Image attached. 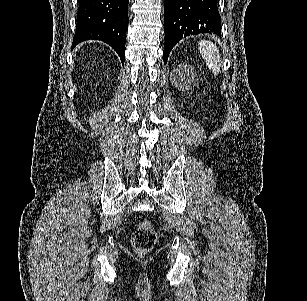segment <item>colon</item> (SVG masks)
<instances>
[{
	"instance_id": "5ec220e1",
	"label": "colon",
	"mask_w": 307,
	"mask_h": 301,
	"mask_svg": "<svg viewBox=\"0 0 307 301\" xmlns=\"http://www.w3.org/2000/svg\"><path fill=\"white\" fill-rule=\"evenodd\" d=\"M157 242V232L151 222L143 220L133 232L131 243L138 255L149 253Z\"/></svg>"
}]
</instances>
